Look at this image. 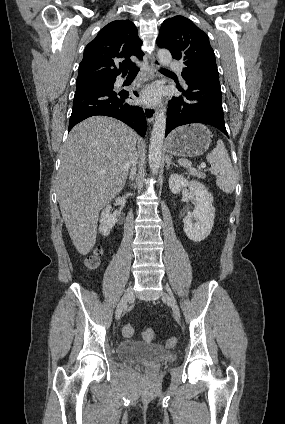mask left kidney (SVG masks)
<instances>
[{"instance_id":"5707ae66","label":"left kidney","mask_w":285,"mask_h":424,"mask_svg":"<svg viewBox=\"0 0 285 424\" xmlns=\"http://www.w3.org/2000/svg\"><path fill=\"white\" fill-rule=\"evenodd\" d=\"M187 187L196 206L191 215H186L183 218V229L190 240L200 242L210 234L214 225L213 196L202 183L196 180L188 181L179 174H172L169 177V188L172 193H180Z\"/></svg>"}]
</instances>
